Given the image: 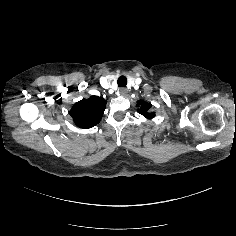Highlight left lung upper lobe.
<instances>
[{"label":"left lung upper lobe","instance_id":"1","mask_svg":"<svg viewBox=\"0 0 236 236\" xmlns=\"http://www.w3.org/2000/svg\"><path fill=\"white\" fill-rule=\"evenodd\" d=\"M151 104L145 101H138V112L147 119H151L155 116L154 112H150Z\"/></svg>","mask_w":236,"mask_h":236}]
</instances>
